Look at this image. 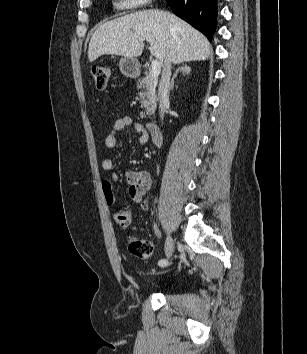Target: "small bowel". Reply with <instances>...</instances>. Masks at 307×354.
<instances>
[{"label": "small bowel", "instance_id": "small-bowel-1", "mask_svg": "<svg viewBox=\"0 0 307 354\" xmlns=\"http://www.w3.org/2000/svg\"><path fill=\"white\" fill-rule=\"evenodd\" d=\"M128 127H131L136 132L139 143H146L148 141L149 134L144 125L135 121L130 116H124L114 122L111 131L105 138V148L109 151L113 150L117 145L119 133ZM102 168L106 171L112 170V158H104L102 160ZM124 176L126 182L129 184V197L133 202L139 204L143 209H146L148 200L144 199V196L151 188L152 180L150 173L146 170H126ZM114 178H116V176H114ZM102 191L106 203L108 205L114 204L115 196L113 193V185L110 180H104L102 182Z\"/></svg>", "mask_w": 307, "mask_h": 354}]
</instances>
